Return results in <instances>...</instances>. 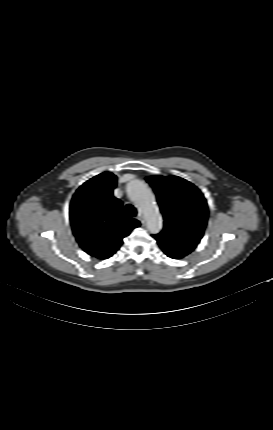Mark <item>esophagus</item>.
<instances>
[{
	"mask_svg": "<svg viewBox=\"0 0 273 430\" xmlns=\"http://www.w3.org/2000/svg\"><path fill=\"white\" fill-rule=\"evenodd\" d=\"M137 219H138L141 223H144V222H145L144 216H143L142 214H138Z\"/></svg>",
	"mask_w": 273,
	"mask_h": 430,
	"instance_id": "esophagus-1",
	"label": "esophagus"
}]
</instances>
